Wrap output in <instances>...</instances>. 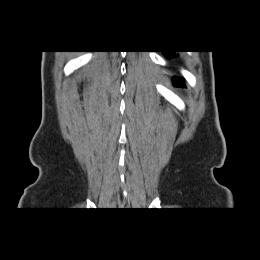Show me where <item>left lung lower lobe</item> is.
I'll use <instances>...</instances> for the list:
<instances>
[{
    "mask_svg": "<svg viewBox=\"0 0 260 260\" xmlns=\"http://www.w3.org/2000/svg\"><path fill=\"white\" fill-rule=\"evenodd\" d=\"M165 53V55H168L170 58L174 57L175 53L174 51H163ZM174 83L177 86H184L182 79L178 78V77H174Z\"/></svg>",
    "mask_w": 260,
    "mask_h": 260,
    "instance_id": "0a47b994",
    "label": "left lung lower lobe"
}]
</instances>
